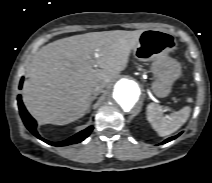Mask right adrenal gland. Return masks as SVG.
I'll list each match as a JSON object with an SVG mask.
<instances>
[{
	"mask_svg": "<svg viewBox=\"0 0 212 183\" xmlns=\"http://www.w3.org/2000/svg\"><path fill=\"white\" fill-rule=\"evenodd\" d=\"M96 99V96H92L91 99H90V103H89V107L87 109V112L86 113H89L90 112V109H91V106H92V103L93 101Z\"/></svg>",
	"mask_w": 212,
	"mask_h": 183,
	"instance_id": "2a0ac1e0",
	"label": "right adrenal gland"
}]
</instances>
